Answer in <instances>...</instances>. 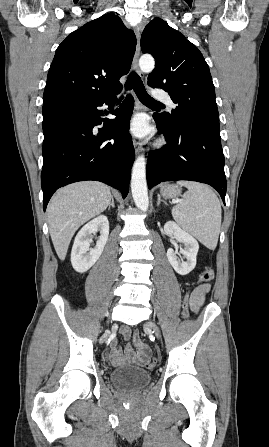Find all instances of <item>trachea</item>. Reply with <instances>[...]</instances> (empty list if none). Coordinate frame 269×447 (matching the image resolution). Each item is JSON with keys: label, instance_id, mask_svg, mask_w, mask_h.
<instances>
[{"label": "trachea", "instance_id": "obj_1", "mask_svg": "<svg viewBox=\"0 0 269 447\" xmlns=\"http://www.w3.org/2000/svg\"><path fill=\"white\" fill-rule=\"evenodd\" d=\"M125 88L126 90H131L133 88L140 102L144 103V105H163L148 95L141 78L135 72H132L129 75Z\"/></svg>", "mask_w": 269, "mask_h": 447}]
</instances>
